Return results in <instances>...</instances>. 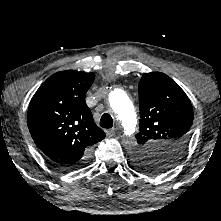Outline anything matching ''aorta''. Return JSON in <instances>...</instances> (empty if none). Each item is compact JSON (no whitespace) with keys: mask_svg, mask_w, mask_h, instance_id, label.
I'll use <instances>...</instances> for the list:
<instances>
[{"mask_svg":"<svg viewBox=\"0 0 221 221\" xmlns=\"http://www.w3.org/2000/svg\"><path fill=\"white\" fill-rule=\"evenodd\" d=\"M109 103L112 112L121 122L124 134L131 136L136 130L137 116L129 96L125 91L115 89L109 95Z\"/></svg>","mask_w":221,"mask_h":221,"instance_id":"obj_1","label":"aorta"}]
</instances>
